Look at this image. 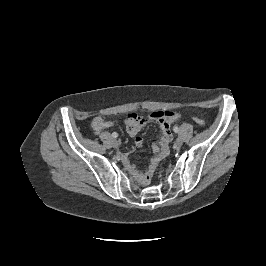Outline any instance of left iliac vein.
Returning a JSON list of instances; mask_svg holds the SVG:
<instances>
[{"mask_svg": "<svg viewBox=\"0 0 266 266\" xmlns=\"http://www.w3.org/2000/svg\"><path fill=\"white\" fill-rule=\"evenodd\" d=\"M182 144H183L182 138H177L175 141V146L179 148L182 146Z\"/></svg>", "mask_w": 266, "mask_h": 266, "instance_id": "1", "label": "left iliac vein"}]
</instances>
